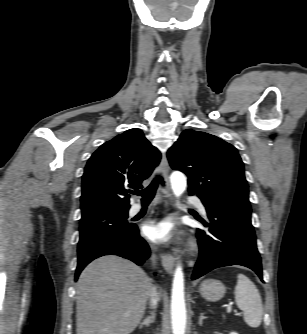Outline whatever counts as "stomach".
<instances>
[{
  "label": "stomach",
  "mask_w": 307,
  "mask_h": 334,
  "mask_svg": "<svg viewBox=\"0 0 307 334\" xmlns=\"http://www.w3.org/2000/svg\"><path fill=\"white\" fill-rule=\"evenodd\" d=\"M199 292L206 300L215 302L224 296L226 288L221 281L206 279L200 284Z\"/></svg>",
  "instance_id": "1"
}]
</instances>
